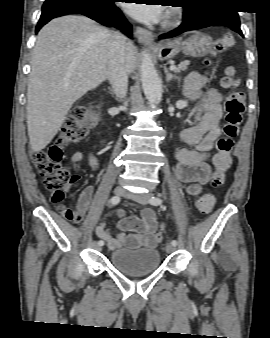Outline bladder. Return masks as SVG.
<instances>
[{"label": "bladder", "instance_id": "bladder-1", "mask_svg": "<svg viewBox=\"0 0 270 338\" xmlns=\"http://www.w3.org/2000/svg\"><path fill=\"white\" fill-rule=\"evenodd\" d=\"M109 265L128 278H140L154 273L160 267V254L155 247L130 249L122 246L113 250Z\"/></svg>", "mask_w": 270, "mask_h": 338}]
</instances>
